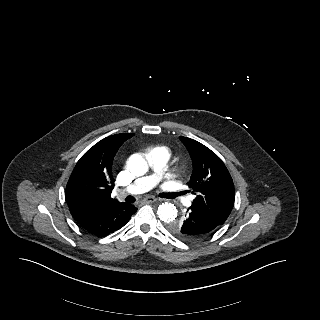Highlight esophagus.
<instances>
[{
    "label": "esophagus",
    "instance_id": "esophagus-1",
    "mask_svg": "<svg viewBox=\"0 0 320 320\" xmlns=\"http://www.w3.org/2000/svg\"><path fill=\"white\" fill-rule=\"evenodd\" d=\"M144 201L146 203H153V202H156L157 199L155 197L149 196V197L145 198Z\"/></svg>",
    "mask_w": 320,
    "mask_h": 320
}]
</instances>
